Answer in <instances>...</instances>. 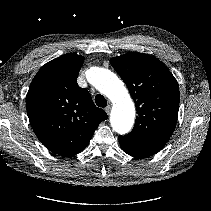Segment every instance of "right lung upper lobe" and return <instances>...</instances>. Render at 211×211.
Wrapping results in <instances>:
<instances>
[{"instance_id":"right-lung-upper-lobe-1","label":"right lung upper lobe","mask_w":211,"mask_h":211,"mask_svg":"<svg viewBox=\"0 0 211 211\" xmlns=\"http://www.w3.org/2000/svg\"><path fill=\"white\" fill-rule=\"evenodd\" d=\"M83 61V56L65 54L48 62L35 75L26 96L27 114L38 139L65 157L80 153L108 118L94 105L88 90L77 84Z\"/></svg>"}]
</instances>
